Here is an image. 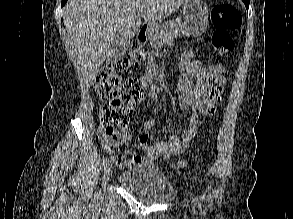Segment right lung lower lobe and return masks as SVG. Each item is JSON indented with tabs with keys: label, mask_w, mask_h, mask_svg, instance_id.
Wrapping results in <instances>:
<instances>
[{
	"label": "right lung lower lobe",
	"mask_w": 293,
	"mask_h": 219,
	"mask_svg": "<svg viewBox=\"0 0 293 219\" xmlns=\"http://www.w3.org/2000/svg\"><path fill=\"white\" fill-rule=\"evenodd\" d=\"M67 0H62L61 6H63L66 3Z\"/></svg>",
	"instance_id": "obj_1"
}]
</instances>
